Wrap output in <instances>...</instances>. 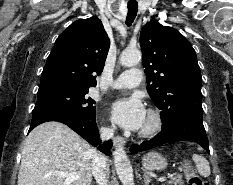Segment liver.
Returning <instances> with one entry per match:
<instances>
[{"label":"liver","mask_w":233,"mask_h":185,"mask_svg":"<svg viewBox=\"0 0 233 185\" xmlns=\"http://www.w3.org/2000/svg\"><path fill=\"white\" fill-rule=\"evenodd\" d=\"M97 154L66 125L43 123L25 139L17 185H66L60 173L79 176L68 185H90L92 160Z\"/></svg>","instance_id":"1"}]
</instances>
